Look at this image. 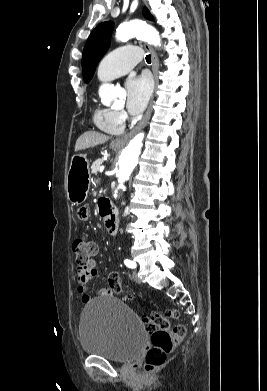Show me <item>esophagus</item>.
<instances>
[{
    "label": "esophagus",
    "instance_id": "34e87169",
    "mask_svg": "<svg viewBox=\"0 0 267 391\" xmlns=\"http://www.w3.org/2000/svg\"><path fill=\"white\" fill-rule=\"evenodd\" d=\"M144 47H145V49L149 50L150 53H151L152 70H153L155 81L157 82V72H158V68H159V61H158L157 54L154 51V49L152 47H150L149 45L145 44ZM151 105H152V102L150 103V105H149V107H148V109H147L143 119L137 124V126L134 129H132L129 133H127L126 135H124L121 138L116 139L113 142V144L115 146H124L132 138V136L136 132L141 130L146 125L148 119L150 118L151 112H152V106Z\"/></svg>",
    "mask_w": 267,
    "mask_h": 391
}]
</instances>
